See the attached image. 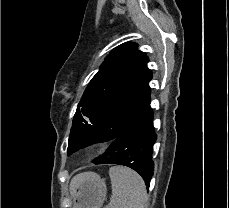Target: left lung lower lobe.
Masks as SVG:
<instances>
[{
    "mask_svg": "<svg viewBox=\"0 0 229 208\" xmlns=\"http://www.w3.org/2000/svg\"><path fill=\"white\" fill-rule=\"evenodd\" d=\"M152 110L140 115L131 125L117 131L98 132L95 136L72 149L68 155L88 145L114 140L104 155L94 164H120L135 170L144 180L147 189L153 175V145L157 139L153 127Z\"/></svg>",
    "mask_w": 229,
    "mask_h": 208,
    "instance_id": "obj_1",
    "label": "left lung lower lobe"
}]
</instances>
